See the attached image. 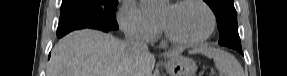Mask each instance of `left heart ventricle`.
<instances>
[{
  "mask_svg": "<svg viewBox=\"0 0 287 76\" xmlns=\"http://www.w3.org/2000/svg\"><path fill=\"white\" fill-rule=\"evenodd\" d=\"M160 18L174 36L185 40L201 36L209 23L205 10L191 3L179 7L166 6Z\"/></svg>",
  "mask_w": 287,
  "mask_h": 76,
  "instance_id": "1",
  "label": "left heart ventricle"
}]
</instances>
